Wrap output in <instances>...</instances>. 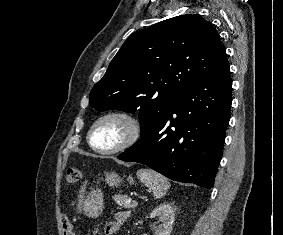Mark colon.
<instances>
[{
    "label": "colon",
    "mask_w": 283,
    "mask_h": 235,
    "mask_svg": "<svg viewBox=\"0 0 283 235\" xmlns=\"http://www.w3.org/2000/svg\"><path fill=\"white\" fill-rule=\"evenodd\" d=\"M66 178L69 183H76L81 179V171L76 167H70L67 170ZM64 230L66 235H71L72 231L69 228Z\"/></svg>",
    "instance_id": "colon-1"
}]
</instances>
